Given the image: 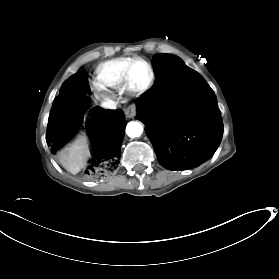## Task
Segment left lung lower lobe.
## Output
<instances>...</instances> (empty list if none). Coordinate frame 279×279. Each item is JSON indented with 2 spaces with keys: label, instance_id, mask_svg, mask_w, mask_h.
Returning <instances> with one entry per match:
<instances>
[{
  "label": "left lung lower lobe",
  "instance_id": "left-lung-lower-lobe-1",
  "mask_svg": "<svg viewBox=\"0 0 279 279\" xmlns=\"http://www.w3.org/2000/svg\"><path fill=\"white\" fill-rule=\"evenodd\" d=\"M135 104L137 119L144 123L157 159L166 169L197 167L220 145L223 123L215 95L193 70L181 75L170 92L158 97L144 93Z\"/></svg>",
  "mask_w": 279,
  "mask_h": 279
}]
</instances>
